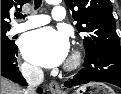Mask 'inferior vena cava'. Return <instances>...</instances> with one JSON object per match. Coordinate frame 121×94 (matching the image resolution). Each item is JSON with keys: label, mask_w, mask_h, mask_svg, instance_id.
Wrapping results in <instances>:
<instances>
[{"label": "inferior vena cava", "mask_w": 121, "mask_h": 94, "mask_svg": "<svg viewBox=\"0 0 121 94\" xmlns=\"http://www.w3.org/2000/svg\"><path fill=\"white\" fill-rule=\"evenodd\" d=\"M21 72L28 83V87L23 90V94H35L36 88L44 80L43 70L39 67H34L29 64H23L21 66Z\"/></svg>", "instance_id": "1"}]
</instances>
